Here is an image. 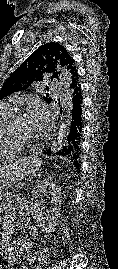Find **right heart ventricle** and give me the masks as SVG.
<instances>
[{"instance_id":"1","label":"right heart ventricle","mask_w":118,"mask_h":269,"mask_svg":"<svg viewBox=\"0 0 118 269\" xmlns=\"http://www.w3.org/2000/svg\"><path fill=\"white\" fill-rule=\"evenodd\" d=\"M11 109L3 104H0V157L17 154L21 151V147L11 143L5 134V123L11 116Z\"/></svg>"}]
</instances>
